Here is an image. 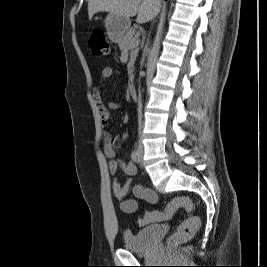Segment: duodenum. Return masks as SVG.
Wrapping results in <instances>:
<instances>
[{
  "label": "duodenum",
  "mask_w": 267,
  "mask_h": 267,
  "mask_svg": "<svg viewBox=\"0 0 267 267\" xmlns=\"http://www.w3.org/2000/svg\"><path fill=\"white\" fill-rule=\"evenodd\" d=\"M129 93H130L132 98H134V99L137 98V90H136V87H135V84H134V81L132 78L129 82Z\"/></svg>",
  "instance_id": "obj_1"
}]
</instances>
